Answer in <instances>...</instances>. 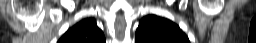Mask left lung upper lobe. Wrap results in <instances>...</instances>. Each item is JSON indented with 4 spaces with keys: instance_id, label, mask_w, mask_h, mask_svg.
Here are the masks:
<instances>
[{
    "instance_id": "1",
    "label": "left lung upper lobe",
    "mask_w": 256,
    "mask_h": 43,
    "mask_svg": "<svg viewBox=\"0 0 256 43\" xmlns=\"http://www.w3.org/2000/svg\"><path fill=\"white\" fill-rule=\"evenodd\" d=\"M135 43H190L188 37L173 22L148 15L141 19L135 34Z\"/></svg>"
}]
</instances>
